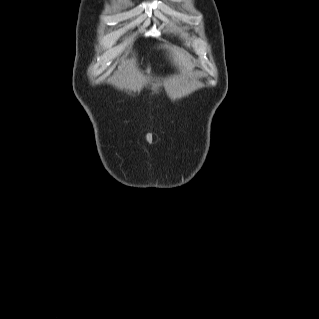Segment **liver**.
<instances>
[{"mask_svg": "<svg viewBox=\"0 0 319 319\" xmlns=\"http://www.w3.org/2000/svg\"><path fill=\"white\" fill-rule=\"evenodd\" d=\"M164 47L169 50L170 57H172L175 65L185 67L187 70H192L194 68V65L190 62L188 56L182 51L176 48L168 47L166 45Z\"/></svg>", "mask_w": 319, "mask_h": 319, "instance_id": "1", "label": "liver"}]
</instances>
